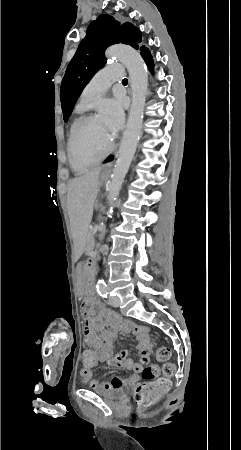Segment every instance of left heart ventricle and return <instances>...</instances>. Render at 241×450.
<instances>
[{"mask_svg":"<svg viewBox=\"0 0 241 450\" xmlns=\"http://www.w3.org/2000/svg\"><path fill=\"white\" fill-rule=\"evenodd\" d=\"M80 124V138L75 142L76 155L86 169H95V160H104L114 140L110 125L102 121L99 115H90ZM94 157V158H93ZM95 159V160H94Z\"/></svg>","mask_w":241,"mask_h":450,"instance_id":"1","label":"left heart ventricle"}]
</instances>
